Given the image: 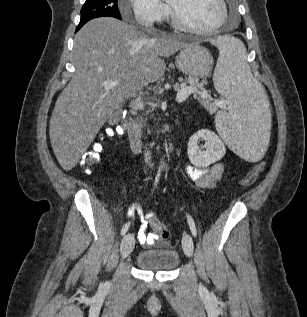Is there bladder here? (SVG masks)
<instances>
[{"mask_svg": "<svg viewBox=\"0 0 307 317\" xmlns=\"http://www.w3.org/2000/svg\"><path fill=\"white\" fill-rule=\"evenodd\" d=\"M180 263V257L173 249L144 250L135 257L137 268L145 271L168 272Z\"/></svg>", "mask_w": 307, "mask_h": 317, "instance_id": "obj_1", "label": "bladder"}]
</instances>
